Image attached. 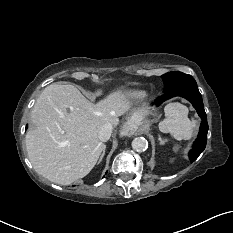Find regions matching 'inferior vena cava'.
I'll return each mask as SVG.
<instances>
[{"mask_svg": "<svg viewBox=\"0 0 233 233\" xmlns=\"http://www.w3.org/2000/svg\"><path fill=\"white\" fill-rule=\"evenodd\" d=\"M111 133H112V126H111V124H105L99 130L98 137H99L100 141L106 142L111 137Z\"/></svg>", "mask_w": 233, "mask_h": 233, "instance_id": "602c4592", "label": "inferior vena cava"}]
</instances>
